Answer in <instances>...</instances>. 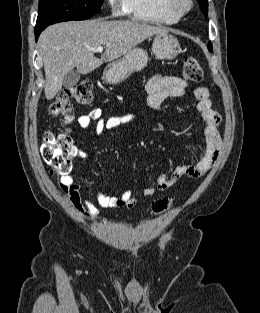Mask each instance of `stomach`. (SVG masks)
I'll return each mask as SVG.
<instances>
[{
	"mask_svg": "<svg viewBox=\"0 0 260 313\" xmlns=\"http://www.w3.org/2000/svg\"><path fill=\"white\" fill-rule=\"evenodd\" d=\"M152 51L159 59H174L181 51L177 38L169 33L156 34ZM148 54L141 48H133L123 57L106 66L103 80L108 84H118L127 79L132 73L141 71L147 66Z\"/></svg>",
	"mask_w": 260,
	"mask_h": 313,
	"instance_id": "stomach-1",
	"label": "stomach"
}]
</instances>
